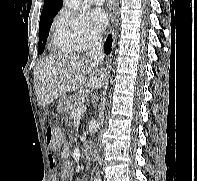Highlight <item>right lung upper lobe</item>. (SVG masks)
Here are the masks:
<instances>
[{"label": "right lung upper lobe", "mask_w": 197, "mask_h": 181, "mask_svg": "<svg viewBox=\"0 0 197 181\" xmlns=\"http://www.w3.org/2000/svg\"><path fill=\"white\" fill-rule=\"evenodd\" d=\"M63 0H45L41 16L56 14L62 7Z\"/></svg>", "instance_id": "obj_1"}]
</instances>
